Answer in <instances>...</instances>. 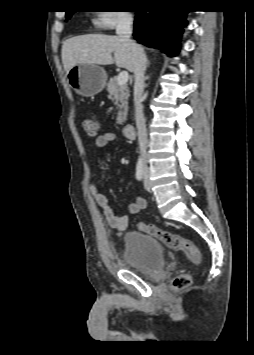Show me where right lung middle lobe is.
Wrapping results in <instances>:
<instances>
[{"mask_svg": "<svg viewBox=\"0 0 254 355\" xmlns=\"http://www.w3.org/2000/svg\"><path fill=\"white\" fill-rule=\"evenodd\" d=\"M73 13H74V12H69V11H68V12L66 13V18H70Z\"/></svg>", "mask_w": 254, "mask_h": 355, "instance_id": "obj_1", "label": "right lung middle lobe"}]
</instances>
